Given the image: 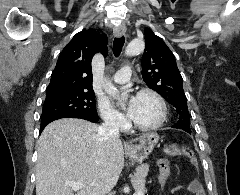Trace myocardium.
I'll return each instance as SVG.
<instances>
[{"label": "myocardium", "instance_id": "1", "mask_svg": "<svg viewBox=\"0 0 240 195\" xmlns=\"http://www.w3.org/2000/svg\"><path fill=\"white\" fill-rule=\"evenodd\" d=\"M145 94L151 95L157 100L160 112L158 119L154 123L145 126L134 123L130 117L126 118V126L138 132H151L157 130L163 125L167 117V106L162 95L150 88H143L137 92V96Z\"/></svg>", "mask_w": 240, "mask_h": 195}]
</instances>
